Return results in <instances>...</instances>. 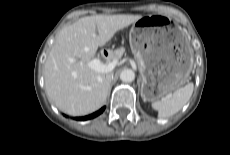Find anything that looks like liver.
<instances>
[{"label": "liver", "mask_w": 230, "mask_h": 155, "mask_svg": "<svg viewBox=\"0 0 230 155\" xmlns=\"http://www.w3.org/2000/svg\"><path fill=\"white\" fill-rule=\"evenodd\" d=\"M141 15H96L79 19L58 34L44 65L48 96L63 112L81 116L98 110L109 92L107 73L89 67L99 46Z\"/></svg>", "instance_id": "obj_1"}]
</instances>
